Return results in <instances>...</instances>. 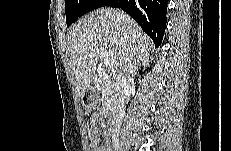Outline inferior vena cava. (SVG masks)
Wrapping results in <instances>:
<instances>
[{
  "instance_id": "inferior-vena-cava-1",
  "label": "inferior vena cava",
  "mask_w": 231,
  "mask_h": 151,
  "mask_svg": "<svg viewBox=\"0 0 231 151\" xmlns=\"http://www.w3.org/2000/svg\"><path fill=\"white\" fill-rule=\"evenodd\" d=\"M128 73L127 69L123 68L117 77L116 82V99L114 103V114L112 120V140L118 144L119 131L122 123V118L125 112V92L128 89Z\"/></svg>"
}]
</instances>
